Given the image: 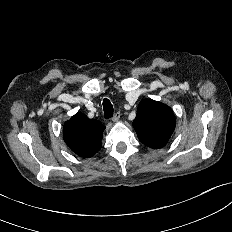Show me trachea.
I'll list each match as a JSON object with an SVG mask.
<instances>
[{
  "label": "trachea",
  "instance_id": "obj_1",
  "mask_svg": "<svg viewBox=\"0 0 232 232\" xmlns=\"http://www.w3.org/2000/svg\"><path fill=\"white\" fill-rule=\"evenodd\" d=\"M103 109H104V118L109 119L113 116L114 109L113 105L108 99H104L103 101Z\"/></svg>",
  "mask_w": 232,
  "mask_h": 232
}]
</instances>
